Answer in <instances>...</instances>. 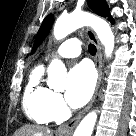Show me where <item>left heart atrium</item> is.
Returning <instances> with one entry per match:
<instances>
[{"label":"left heart atrium","instance_id":"left-heart-atrium-1","mask_svg":"<svg viewBox=\"0 0 136 136\" xmlns=\"http://www.w3.org/2000/svg\"><path fill=\"white\" fill-rule=\"evenodd\" d=\"M95 73L89 63L81 62L73 67L68 75L66 99L78 108L83 106L92 96L95 87Z\"/></svg>","mask_w":136,"mask_h":136}]
</instances>
